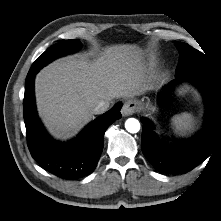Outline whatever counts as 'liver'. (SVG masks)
<instances>
[{
  "instance_id": "1",
  "label": "liver",
  "mask_w": 221,
  "mask_h": 221,
  "mask_svg": "<svg viewBox=\"0 0 221 221\" xmlns=\"http://www.w3.org/2000/svg\"><path fill=\"white\" fill-rule=\"evenodd\" d=\"M147 68L132 45L108 47L97 59L68 56L43 68L35 79L39 116L56 138L75 135L100 101L134 97L147 90Z\"/></svg>"
}]
</instances>
